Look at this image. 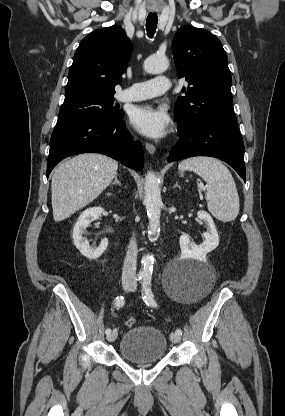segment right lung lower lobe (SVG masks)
Returning <instances> with one entry per match:
<instances>
[{"instance_id":"obj_1","label":"right lung lower lobe","mask_w":285,"mask_h":416,"mask_svg":"<svg viewBox=\"0 0 285 416\" xmlns=\"http://www.w3.org/2000/svg\"><path fill=\"white\" fill-rule=\"evenodd\" d=\"M87 152L110 156L135 170L143 168L141 144L133 141L122 118L76 119L57 121L50 139L47 177L62 159Z\"/></svg>"}]
</instances>
